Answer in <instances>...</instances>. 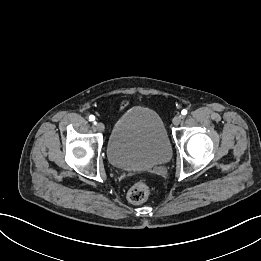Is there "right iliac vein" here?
Listing matches in <instances>:
<instances>
[{
	"label": "right iliac vein",
	"mask_w": 261,
	"mask_h": 261,
	"mask_svg": "<svg viewBox=\"0 0 261 261\" xmlns=\"http://www.w3.org/2000/svg\"><path fill=\"white\" fill-rule=\"evenodd\" d=\"M95 127H96V129H97L98 131H100V132L104 131V129H105L104 124L101 123V122L95 123Z\"/></svg>",
	"instance_id": "63e3f726"
}]
</instances>
